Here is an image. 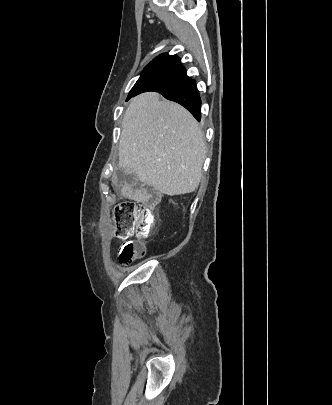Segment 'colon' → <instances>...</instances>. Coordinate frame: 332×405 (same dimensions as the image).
I'll use <instances>...</instances> for the list:
<instances>
[{
  "instance_id": "obj_1",
  "label": "colon",
  "mask_w": 332,
  "mask_h": 405,
  "mask_svg": "<svg viewBox=\"0 0 332 405\" xmlns=\"http://www.w3.org/2000/svg\"><path fill=\"white\" fill-rule=\"evenodd\" d=\"M159 201V194L149 186H144L135 201L124 200L113 210L116 232L122 238L129 236L144 237L156 225L153 207ZM146 248L142 241H125L119 249L118 260L127 265L145 256Z\"/></svg>"
}]
</instances>
